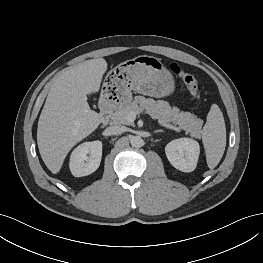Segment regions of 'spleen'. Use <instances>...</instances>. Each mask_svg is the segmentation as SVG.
<instances>
[{"instance_id":"obj_1","label":"spleen","mask_w":263,"mask_h":263,"mask_svg":"<svg viewBox=\"0 0 263 263\" xmlns=\"http://www.w3.org/2000/svg\"><path fill=\"white\" fill-rule=\"evenodd\" d=\"M202 142L207 165L210 169H213L220 162L226 147L224 117L217 104L211 106L207 115V121L202 131Z\"/></svg>"}]
</instances>
